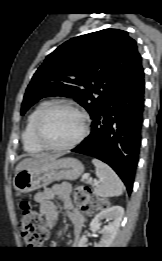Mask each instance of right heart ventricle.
Segmentation results:
<instances>
[{
    "instance_id": "1",
    "label": "right heart ventricle",
    "mask_w": 162,
    "mask_h": 261,
    "mask_svg": "<svg viewBox=\"0 0 162 261\" xmlns=\"http://www.w3.org/2000/svg\"><path fill=\"white\" fill-rule=\"evenodd\" d=\"M49 104V101H43L39 103L34 110L29 114L22 134L24 150L30 154H38L44 151V149L39 146L35 140L34 130L36 120L43 109H45Z\"/></svg>"
}]
</instances>
